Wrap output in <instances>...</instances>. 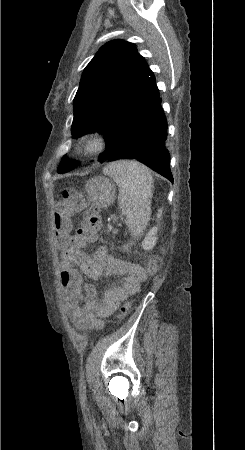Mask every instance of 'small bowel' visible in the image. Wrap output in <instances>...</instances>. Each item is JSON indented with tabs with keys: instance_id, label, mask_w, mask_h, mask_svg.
<instances>
[{
	"instance_id": "c3829d8e",
	"label": "small bowel",
	"mask_w": 245,
	"mask_h": 450,
	"mask_svg": "<svg viewBox=\"0 0 245 450\" xmlns=\"http://www.w3.org/2000/svg\"><path fill=\"white\" fill-rule=\"evenodd\" d=\"M76 267L91 278L106 275L123 276L125 280L99 298L95 286L84 282ZM60 268V279L66 289L67 313L83 331L102 328V319L114 313L124 298L137 292L145 278L141 267L112 257L104 246L92 255L69 249L62 255Z\"/></svg>"
}]
</instances>
